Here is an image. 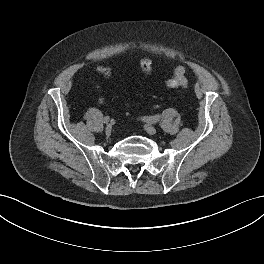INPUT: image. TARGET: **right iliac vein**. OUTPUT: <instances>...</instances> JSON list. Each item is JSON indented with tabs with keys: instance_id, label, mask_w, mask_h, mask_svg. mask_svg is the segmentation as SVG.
I'll use <instances>...</instances> for the list:
<instances>
[{
	"instance_id": "right-iliac-vein-1",
	"label": "right iliac vein",
	"mask_w": 264,
	"mask_h": 264,
	"mask_svg": "<svg viewBox=\"0 0 264 264\" xmlns=\"http://www.w3.org/2000/svg\"><path fill=\"white\" fill-rule=\"evenodd\" d=\"M111 131H112V126L111 125H107L106 126V129H105V132L107 135H110L111 134Z\"/></svg>"
}]
</instances>
